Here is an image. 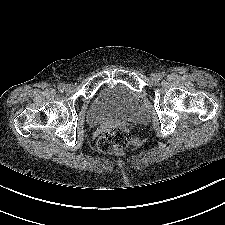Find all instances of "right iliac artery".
I'll return each instance as SVG.
<instances>
[{"label": "right iliac artery", "instance_id": "obj_1", "mask_svg": "<svg viewBox=\"0 0 225 225\" xmlns=\"http://www.w3.org/2000/svg\"><path fill=\"white\" fill-rule=\"evenodd\" d=\"M58 89H59V91H61V92H63L64 91V89H65V85L64 84H59V86H58Z\"/></svg>", "mask_w": 225, "mask_h": 225}]
</instances>
